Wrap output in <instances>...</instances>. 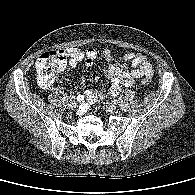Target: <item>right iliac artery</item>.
Returning a JSON list of instances; mask_svg holds the SVG:
<instances>
[{
	"instance_id": "right-iliac-artery-1",
	"label": "right iliac artery",
	"mask_w": 195,
	"mask_h": 195,
	"mask_svg": "<svg viewBox=\"0 0 195 195\" xmlns=\"http://www.w3.org/2000/svg\"><path fill=\"white\" fill-rule=\"evenodd\" d=\"M75 98V96L74 95H70V99H74ZM82 107V106H81Z\"/></svg>"
}]
</instances>
